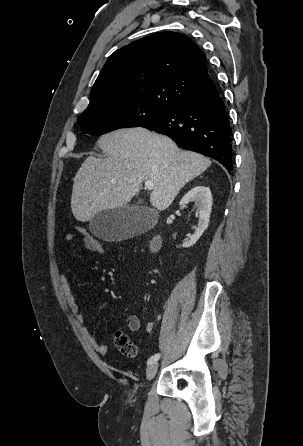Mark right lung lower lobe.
<instances>
[{
    "label": "right lung lower lobe",
    "instance_id": "obj_1",
    "mask_svg": "<svg viewBox=\"0 0 303 446\" xmlns=\"http://www.w3.org/2000/svg\"><path fill=\"white\" fill-rule=\"evenodd\" d=\"M141 127L214 158L232 173L231 128L223 96L216 87L188 97Z\"/></svg>",
    "mask_w": 303,
    "mask_h": 446
}]
</instances>
